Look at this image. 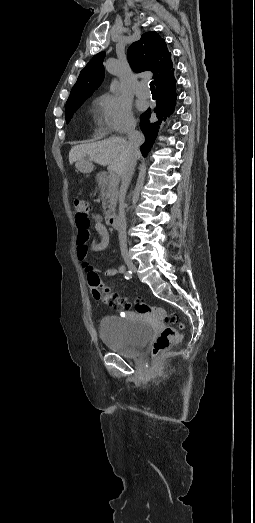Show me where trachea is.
Returning <instances> with one entry per match:
<instances>
[{
    "label": "trachea",
    "instance_id": "obj_1",
    "mask_svg": "<svg viewBox=\"0 0 255 523\" xmlns=\"http://www.w3.org/2000/svg\"><path fill=\"white\" fill-rule=\"evenodd\" d=\"M150 90L155 91L154 82H150Z\"/></svg>",
    "mask_w": 255,
    "mask_h": 523
}]
</instances>
